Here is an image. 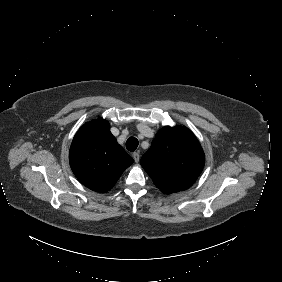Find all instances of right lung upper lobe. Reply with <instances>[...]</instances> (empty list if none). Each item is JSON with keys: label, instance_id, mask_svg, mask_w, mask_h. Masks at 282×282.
Returning a JSON list of instances; mask_svg holds the SVG:
<instances>
[{"label": "right lung upper lobe", "instance_id": "right-lung-upper-lobe-1", "mask_svg": "<svg viewBox=\"0 0 282 282\" xmlns=\"http://www.w3.org/2000/svg\"><path fill=\"white\" fill-rule=\"evenodd\" d=\"M69 161L77 179L97 192H107L134 161L117 143L108 121L99 118L76 133Z\"/></svg>", "mask_w": 282, "mask_h": 282}]
</instances>
